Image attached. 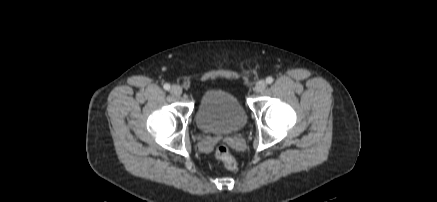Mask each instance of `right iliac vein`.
<instances>
[{
    "label": "right iliac vein",
    "instance_id": "right-iliac-vein-1",
    "mask_svg": "<svg viewBox=\"0 0 437 202\" xmlns=\"http://www.w3.org/2000/svg\"><path fill=\"white\" fill-rule=\"evenodd\" d=\"M170 92L175 96H180L182 94V88L178 85H173Z\"/></svg>",
    "mask_w": 437,
    "mask_h": 202
}]
</instances>
